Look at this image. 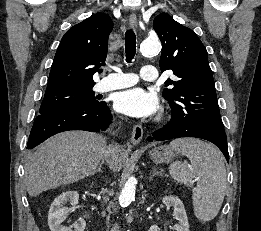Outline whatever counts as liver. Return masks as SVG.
I'll return each instance as SVG.
<instances>
[{"mask_svg":"<svg viewBox=\"0 0 261 231\" xmlns=\"http://www.w3.org/2000/svg\"><path fill=\"white\" fill-rule=\"evenodd\" d=\"M107 163L118 172L125 164L127 155L114 146ZM107 144L99 134L84 131H69L46 140L31 155L25 164V182L29 196L35 197L43 191L63 184L76 182L96 170Z\"/></svg>","mask_w":261,"mask_h":231,"instance_id":"liver-1","label":"liver"}]
</instances>
